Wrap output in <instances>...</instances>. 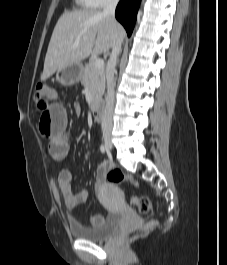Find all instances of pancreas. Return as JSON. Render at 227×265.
<instances>
[{
    "label": "pancreas",
    "mask_w": 227,
    "mask_h": 265,
    "mask_svg": "<svg viewBox=\"0 0 227 265\" xmlns=\"http://www.w3.org/2000/svg\"><path fill=\"white\" fill-rule=\"evenodd\" d=\"M81 83L89 88L92 103H96L105 90L104 68H95L94 61H90L83 69Z\"/></svg>",
    "instance_id": "obj_1"
}]
</instances>
